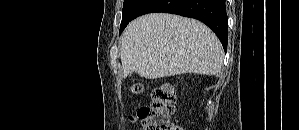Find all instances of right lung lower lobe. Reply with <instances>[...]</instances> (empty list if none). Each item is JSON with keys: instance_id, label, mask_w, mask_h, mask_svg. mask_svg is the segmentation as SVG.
I'll return each instance as SVG.
<instances>
[{"instance_id": "98d812e1", "label": "right lung lower lobe", "mask_w": 299, "mask_h": 130, "mask_svg": "<svg viewBox=\"0 0 299 130\" xmlns=\"http://www.w3.org/2000/svg\"><path fill=\"white\" fill-rule=\"evenodd\" d=\"M152 12L172 13L200 20L217 35L224 50H227L228 18L225 0H147L134 18Z\"/></svg>"}]
</instances>
